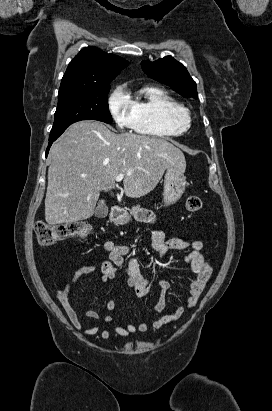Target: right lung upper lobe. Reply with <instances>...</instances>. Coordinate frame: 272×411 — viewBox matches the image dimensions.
<instances>
[{"label":"right lung upper lobe","mask_w":272,"mask_h":411,"mask_svg":"<svg viewBox=\"0 0 272 411\" xmlns=\"http://www.w3.org/2000/svg\"><path fill=\"white\" fill-rule=\"evenodd\" d=\"M128 62L96 47L82 49L72 61L62 78L59 92L90 89L109 84Z\"/></svg>","instance_id":"obj_1"}]
</instances>
